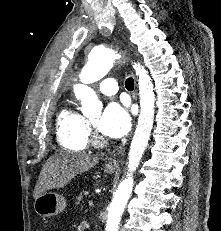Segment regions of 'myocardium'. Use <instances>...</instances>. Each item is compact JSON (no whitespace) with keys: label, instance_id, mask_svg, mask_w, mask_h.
Segmentation results:
<instances>
[{"label":"myocardium","instance_id":"myocardium-1","mask_svg":"<svg viewBox=\"0 0 221 231\" xmlns=\"http://www.w3.org/2000/svg\"><path fill=\"white\" fill-rule=\"evenodd\" d=\"M92 129L94 128V125L91 123ZM108 141L103 139L101 136H99L95 131H93L92 134V144L96 147H104L107 145Z\"/></svg>","mask_w":221,"mask_h":231}]
</instances>
